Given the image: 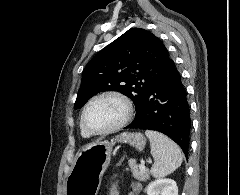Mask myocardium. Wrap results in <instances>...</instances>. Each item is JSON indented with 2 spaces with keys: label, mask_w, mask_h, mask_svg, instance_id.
I'll return each mask as SVG.
<instances>
[{
  "label": "myocardium",
  "mask_w": 240,
  "mask_h": 195,
  "mask_svg": "<svg viewBox=\"0 0 240 195\" xmlns=\"http://www.w3.org/2000/svg\"><path fill=\"white\" fill-rule=\"evenodd\" d=\"M106 98H114V99L119 100L122 103L124 112H123L121 119L117 123L105 128V129L98 130V131L88 130L85 125V117H86V113H87L88 109L94 103H96L100 100L106 99ZM133 111L134 110H133L132 101L129 99V97L127 95H125L119 91H115V90L104 91L100 94H97L93 98H91L87 102V104L84 106L82 115H81V127L83 129V132L88 136L106 135V134L118 131V130L122 129L123 127H125L128 124V122L131 120V118L133 116Z\"/></svg>",
  "instance_id": "f54148a6"
}]
</instances>
